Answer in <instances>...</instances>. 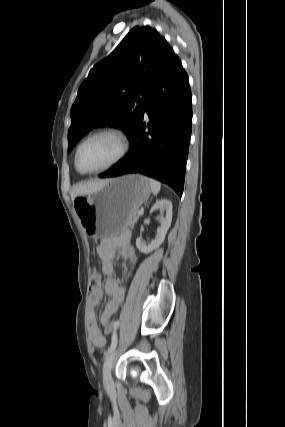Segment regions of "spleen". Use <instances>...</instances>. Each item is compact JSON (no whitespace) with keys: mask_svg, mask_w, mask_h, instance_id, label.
<instances>
[{"mask_svg":"<svg viewBox=\"0 0 285 427\" xmlns=\"http://www.w3.org/2000/svg\"><path fill=\"white\" fill-rule=\"evenodd\" d=\"M149 183H150V186H151L153 194L157 195L159 193L160 189H161L160 182H158V181L150 178L149 179Z\"/></svg>","mask_w":285,"mask_h":427,"instance_id":"1","label":"spleen"}]
</instances>
